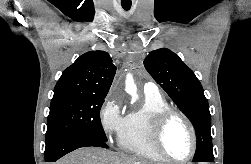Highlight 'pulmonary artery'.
<instances>
[{
    "mask_svg": "<svg viewBox=\"0 0 251 164\" xmlns=\"http://www.w3.org/2000/svg\"><path fill=\"white\" fill-rule=\"evenodd\" d=\"M144 93L147 95H160L158 87L152 82H147L143 87Z\"/></svg>",
    "mask_w": 251,
    "mask_h": 164,
    "instance_id": "pulmonary-artery-1",
    "label": "pulmonary artery"
}]
</instances>
